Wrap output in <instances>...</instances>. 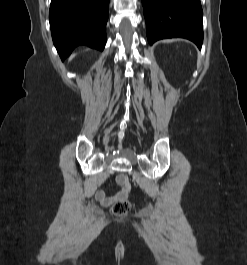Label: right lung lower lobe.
<instances>
[{"label":"right lung lower lobe","instance_id":"right-lung-lower-lobe-1","mask_svg":"<svg viewBox=\"0 0 247 265\" xmlns=\"http://www.w3.org/2000/svg\"><path fill=\"white\" fill-rule=\"evenodd\" d=\"M108 5L109 0H51L50 28L62 60L79 45L104 49Z\"/></svg>","mask_w":247,"mask_h":265}]
</instances>
